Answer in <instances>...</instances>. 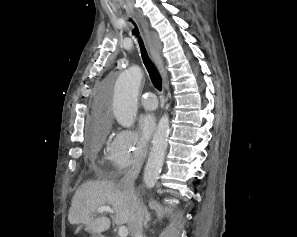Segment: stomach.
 Listing matches in <instances>:
<instances>
[{"mask_svg": "<svg viewBox=\"0 0 297 237\" xmlns=\"http://www.w3.org/2000/svg\"><path fill=\"white\" fill-rule=\"evenodd\" d=\"M92 237H104V236L101 234H94Z\"/></svg>", "mask_w": 297, "mask_h": 237, "instance_id": "obj_1", "label": "stomach"}]
</instances>
